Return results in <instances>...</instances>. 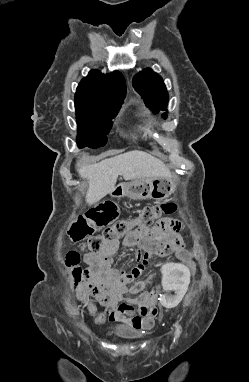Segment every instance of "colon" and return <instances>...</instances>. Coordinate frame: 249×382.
<instances>
[{
	"mask_svg": "<svg viewBox=\"0 0 249 382\" xmlns=\"http://www.w3.org/2000/svg\"><path fill=\"white\" fill-rule=\"evenodd\" d=\"M176 210V205L172 202L154 204L143 207L133 219L123 220L116 224H112L117 217V207L112 202H106L91 210L85 215L79 216L71 225L69 236L74 241H83L90 236L95 230L106 227L102 235L94 236L83 243L82 249L89 252H99L106 244L111 243L122 237L132 234L136 229L150 228L163 215L171 214ZM143 260L139 261L138 265L129 273L134 278L140 277L146 269V266L159 255L161 251L158 247L145 248L142 252ZM178 256L182 260H188L191 255L186 250H179ZM80 254L76 251H70L66 254L65 264L71 270L72 278L75 283H78L84 276L85 270L80 266ZM148 281H152L153 277L148 276ZM159 290L154 287L152 290L153 296H158ZM157 310L151 311L156 314Z\"/></svg>",
	"mask_w": 249,
	"mask_h": 382,
	"instance_id": "1",
	"label": "colon"
}]
</instances>
